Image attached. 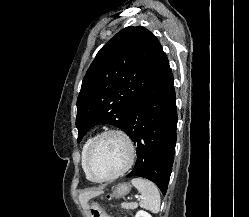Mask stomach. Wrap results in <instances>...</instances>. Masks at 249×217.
<instances>
[{
    "label": "stomach",
    "instance_id": "0dacf381",
    "mask_svg": "<svg viewBox=\"0 0 249 217\" xmlns=\"http://www.w3.org/2000/svg\"><path fill=\"white\" fill-rule=\"evenodd\" d=\"M130 191V185L123 183V184H119L113 191L112 197L114 198H121L123 196H125L126 194H128V192Z\"/></svg>",
    "mask_w": 249,
    "mask_h": 217
}]
</instances>
